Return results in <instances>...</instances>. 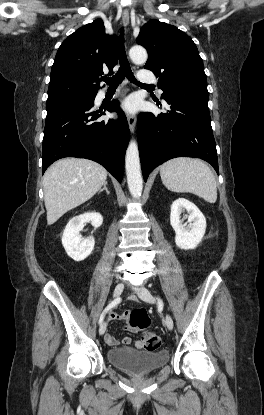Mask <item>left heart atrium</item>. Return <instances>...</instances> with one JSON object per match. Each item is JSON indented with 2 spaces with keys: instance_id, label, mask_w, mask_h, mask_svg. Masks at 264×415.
I'll use <instances>...</instances> for the list:
<instances>
[{
  "instance_id": "obj_1",
  "label": "left heart atrium",
  "mask_w": 264,
  "mask_h": 415,
  "mask_svg": "<svg viewBox=\"0 0 264 415\" xmlns=\"http://www.w3.org/2000/svg\"><path fill=\"white\" fill-rule=\"evenodd\" d=\"M123 109L129 113H134L137 110V99L135 97L127 98L123 103Z\"/></svg>"
}]
</instances>
